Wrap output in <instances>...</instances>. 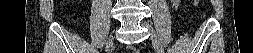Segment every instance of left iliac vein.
I'll return each instance as SVG.
<instances>
[{"instance_id": "4c4485c4", "label": "left iliac vein", "mask_w": 253, "mask_h": 53, "mask_svg": "<svg viewBox=\"0 0 253 53\" xmlns=\"http://www.w3.org/2000/svg\"><path fill=\"white\" fill-rule=\"evenodd\" d=\"M145 25L149 28V32L151 34V40L155 46V48L157 49L158 53H163V50L161 49V51H158V48H160V41L158 39L157 34L155 33V30L149 26V24L145 23Z\"/></svg>"}]
</instances>
